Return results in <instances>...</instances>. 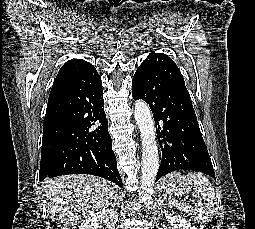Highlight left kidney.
Listing matches in <instances>:
<instances>
[{
    "label": "left kidney",
    "mask_w": 255,
    "mask_h": 229,
    "mask_svg": "<svg viewBox=\"0 0 255 229\" xmlns=\"http://www.w3.org/2000/svg\"><path fill=\"white\" fill-rule=\"evenodd\" d=\"M165 220L171 224L172 229H194L191 224L181 216L165 214Z\"/></svg>",
    "instance_id": "5707ae66"
}]
</instances>
